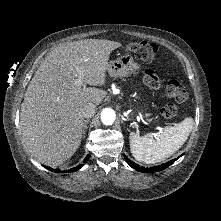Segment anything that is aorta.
<instances>
[{"label": "aorta", "mask_w": 221, "mask_h": 221, "mask_svg": "<svg viewBox=\"0 0 221 221\" xmlns=\"http://www.w3.org/2000/svg\"><path fill=\"white\" fill-rule=\"evenodd\" d=\"M115 117L116 115L113 109L105 108L101 112V121L105 125H112L115 121Z\"/></svg>", "instance_id": "1"}]
</instances>
